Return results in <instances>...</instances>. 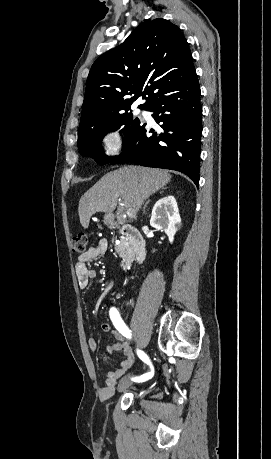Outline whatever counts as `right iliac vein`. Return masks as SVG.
I'll use <instances>...</instances> for the list:
<instances>
[{
  "mask_svg": "<svg viewBox=\"0 0 271 459\" xmlns=\"http://www.w3.org/2000/svg\"><path fill=\"white\" fill-rule=\"evenodd\" d=\"M132 384V380L127 377V378H123L121 379V381L119 382V385H118V390L120 392L124 391L125 389L129 388Z\"/></svg>",
  "mask_w": 271,
  "mask_h": 459,
  "instance_id": "right-iliac-vein-1",
  "label": "right iliac vein"
}]
</instances>
